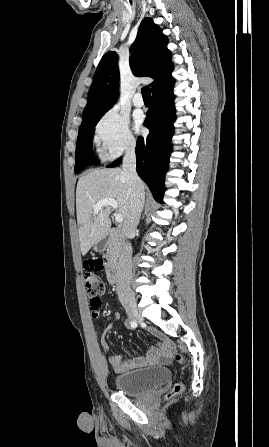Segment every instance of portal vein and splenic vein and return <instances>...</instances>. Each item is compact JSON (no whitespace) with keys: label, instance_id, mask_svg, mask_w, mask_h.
I'll use <instances>...</instances> for the list:
<instances>
[{"label":"portal vein and splenic vein","instance_id":"portal-vein-and-splenic-vein-1","mask_svg":"<svg viewBox=\"0 0 269 447\" xmlns=\"http://www.w3.org/2000/svg\"><path fill=\"white\" fill-rule=\"evenodd\" d=\"M102 206H111L113 210H117L118 208L116 200H112V198H103V200H99L96 206H94V212H99ZM115 220L116 222H123V216H121V214H117V216H115Z\"/></svg>","mask_w":269,"mask_h":447}]
</instances>
